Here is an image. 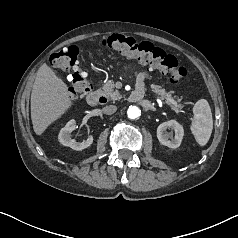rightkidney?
<instances>
[{"label":"right kidney","mask_w":238,"mask_h":238,"mask_svg":"<svg viewBox=\"0 0 238 238\" xmlns=\"http://www.w3.org/2000/svg\"><path fill=\"white\" fill-rule=\"evenodd\" d=\"M77 128L75 120H70L65 127L60 130L58 139L61 144L68 146L74 150H83L89 147L93 142V136H89L87 140L77 142L71 138V132Z\"/></svg>","instance_id":"ca27d5eb"}]
</instances>
